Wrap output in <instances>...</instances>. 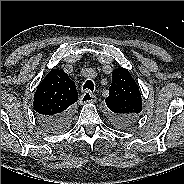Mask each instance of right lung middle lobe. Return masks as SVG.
<instances>
[{
	"label": "right lung middle lobe",
	"mask_w": 184,
	"mask_h": 184,
	"mask_svg": "<svg viewBox=\"0 0 184 184\" xmlns=\"http://www.w3.org/2000/svg\"><path fill=\"white\" fill-rule=\"evenodd\" d=\"M70 122H71V121H69L62 129H59V130H57V131H55V132H61V131L66 130V129L70 126Z\"/></svg>",
	"instance_id": "right-lung-middle-lobe-1"
}]
</instances>
